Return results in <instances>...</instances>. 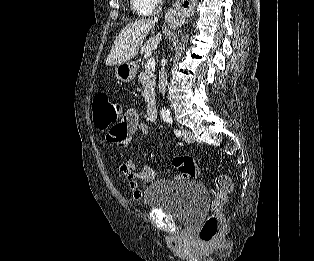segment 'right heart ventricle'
Segmentation results:
<instances>
[{
  "label": "right heart ventricle",
  "instance_id": "e07e8e85",
  "mask_svg": "<svg viewBox=\"0 0 314 261\" xmlns=\"http://www.w3.org/2000/svg\"><path fill=\"white\" fill-rule=\"evenodd\" d=\"M131 7L139 17L152 15L155 10L150 0H131Z\"/></svg>",
  "mask_w": 314,
  "mask_h": 261
}]
</instances>
